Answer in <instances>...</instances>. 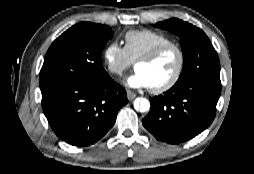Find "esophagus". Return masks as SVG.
<instances>
[{
    "mask_svg": "<svg viewBox=\"0 0 254 174\" xmlns=\"http://www.w3.org/2000/svg\"><path fill=\"white\" fill-rule=\"evenodd\" d=\"M127 98L129 101H132L136 98V94L130 90L127 91Z\"/></svg>",
    "mask_w": 254,
    "mask_h": 174,
    "instance_id": "obj_1",
    "label": "esophagus"
}]
</instances>
